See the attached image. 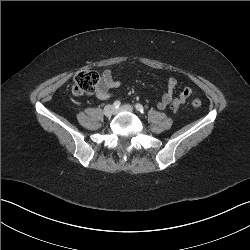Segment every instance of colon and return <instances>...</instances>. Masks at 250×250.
Segmentation results:
<instances>
[{"label":"colon","mask_w":250,"mask_h":250,"mask_svg":"<svg viewBox=\"0 0 250 250\" xmlns=\"http://www.w3.org/2000/svg\"><path fill=\"white\" fill-rule=\"evenodd\" d=\"M100 84V76L92 70H84L76 74L72 91L76 95L90 94L96 91ZM192 105L196 108L201 107L202 102L198 98L192 100Z\"/></svg>","instance_id":"1"}]
</instances>
